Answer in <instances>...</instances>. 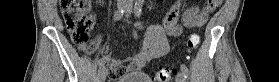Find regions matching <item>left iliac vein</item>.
<instances>
[{
	"label": "left iliac vein",
	"mask_w": 279,
	"mask_h": 82,
	"mask_svg": "<svg viewBox=\"0 0 279 82\" xmlns=\"http://www.w3.org/2000/svg\"><path fill=\"white\" fill-rule=\"evenodd\" d=\"M131 12V6H129L126 10V13H130ZM176 82H185V79H184V76H183V73H178L177 76H176Z\"/></svg>",
	"instance_id": "1"
}]
</instances>
